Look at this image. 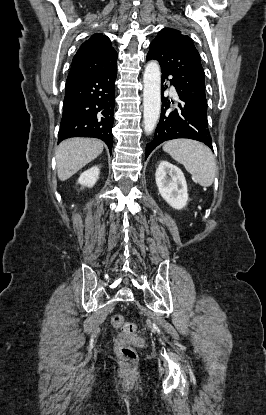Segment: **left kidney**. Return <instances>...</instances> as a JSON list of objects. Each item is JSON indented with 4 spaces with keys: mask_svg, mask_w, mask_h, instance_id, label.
<instances>
[{
    "mask_svg": "<svg viewBox=\"0 0 266 415\" xmlns=\"http://www.w3.org/2000/svg\"><path fill=\"white\" fill-rule=\"evenodd\" d=\"M156 184L162 198L174 209L187 205L188 189L183 172L168 161H161L155 173Z\"/></svg>",
    "mask_w": 266,
    "mask_h": 415,
    "instance_id": "left-kidney-1",
    "label": "left kidney"
}]
</instances>
